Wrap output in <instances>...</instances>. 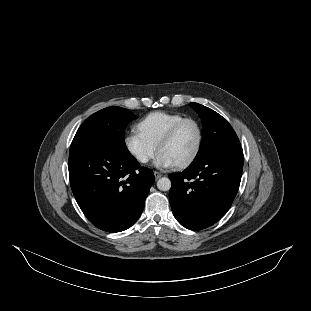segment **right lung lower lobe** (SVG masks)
<instances>
[{"mask_svg": "<svg viewBox=\"0 0 311 311\" xmlns=\"http://www.w3.org/2000/svg\"><path fill=\"white\" fill-rule=\"evenodd\" d=\"M74 197L88 220L107 232H119L140 217L155 181L153 171L140 167L129 151L93 143L69 153Z\"/></svg>", "mask_w": 311, "mask_h": 311, "instance_id": "right-lung-lower-lobe-1", "label": "right lung lower lobe"}]
</instances>
